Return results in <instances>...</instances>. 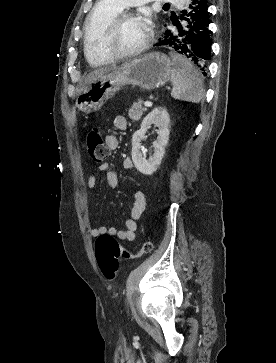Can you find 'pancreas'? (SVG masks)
I'll return each instance as SVG.
<instances>
[{
	"label": "pancreas",
	"instance_id": "pancreas-1",
	"mask_svg": "<svg viewBox=\"0 0 276 363\" xmlns=\"http://www.w3.org/2000/svg\"><path fill=\"white\" fill-rule=\"evenodd\" d=\"M145 111H147V109L142 107V100L138 99L135 103H133L132 107L128 110V115L129 118L133 122H135L140 120Z\"/></svg>",
	"mask_w": 276,
	"mask_h": 363
}]
</instances>
